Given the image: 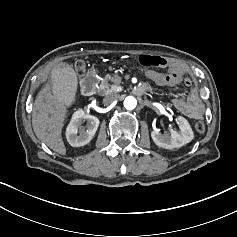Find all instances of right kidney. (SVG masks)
<instances>
[{
  "instance_id": "1",
  "label": "right kidney",
  "mask_w": 237,
  "mask_h": 237,
  "mask_svg": "<svg viewBox=\"0 0 237 237\" xmlns=\"http://www.w3.org/2000/svg\"><path fill=\"white\" fill-rule=\"evenodd\" d=\"M84 121L86 125L83 126ZM99 126V119L83 111L75 113L67 128L66 137L73 147L84 146L91 141Z\"/></svg>"
}]
</instances>
